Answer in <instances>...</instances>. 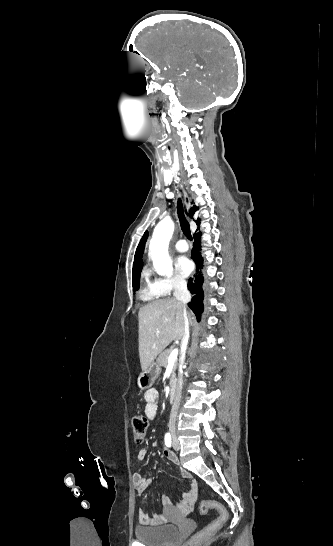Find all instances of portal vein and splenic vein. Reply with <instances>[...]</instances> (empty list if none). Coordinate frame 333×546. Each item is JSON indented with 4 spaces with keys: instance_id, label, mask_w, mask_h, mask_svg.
<instances>
[{
    "instance_id": "18ae733b",
    "label": "portal vein and splenic vein",
    "mask_w": 333,
    "mask_h": 546,
    "mask_svg": "<svg viewBox=\"0 0 333 546\" xmlns=\"http://www.w3.org/2000/svg\"><path fill=\"white\" fill-rule=\"evenodd\" d=\"M177 356H178V349L175 348L172 350V352L170 353L168 357V363H174L177 359Z\"/></svg>"
}]
</instances>
